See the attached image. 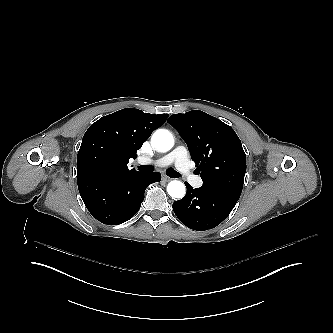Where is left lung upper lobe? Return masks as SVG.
<instances>
[{
  "label": "left lung upper lobe",
  "mask_w": 333,
  "mask_h": 333,
  "mask_svg": "<svg viewBox=\"0 0 333 333\" xmlns=\"http://www.w3.org/2000/svg\"><path fill=\"white\" fill-rule=\"evenodd\" d=\"M167 122L186 142L202 187L241 194L246 155L229 125L199 110L171 115Z\"/></svg>",
  "instance_id": "1"
}]
</instances>
